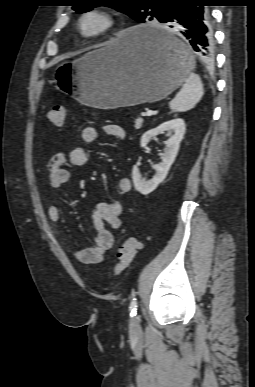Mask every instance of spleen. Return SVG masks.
Here are the masks:
<instances>
[{
    "label": "spleen",
    "instance_id": "3e777b00",
    "mask_svg": "<svg viewBox=\"0 0 255 387\" xmlns=\"http://www.w3.org/2000/svg\"><path fill=\"white\" fill-rule=\"evenodd\" d=\"M203 94L204 90L200 77L195 73H189L182 89L170 101L169 107L173 112H186L195 107Z\"/></svg>",
    "mask_w": 255,
    "mask_h": 387
}]
</instances>
